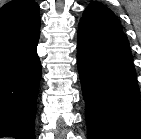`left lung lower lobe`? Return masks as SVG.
Wrapping results in <instances>:
<instances>
[{"label":"left lung lower lobe","instance_id":"obj_1","mask_svg":"<svg viewBox=\"0 0 141 139\" xmlns=\"http://www.w3.org/2000/svg\"><path fill=\"white\" fill-rule=\"evenodd\" d=\"M78 69L88 139H141V106L126 35L80 19Z\"/></svg>","mask_w":141,"mask_h":139}]
</instances>
